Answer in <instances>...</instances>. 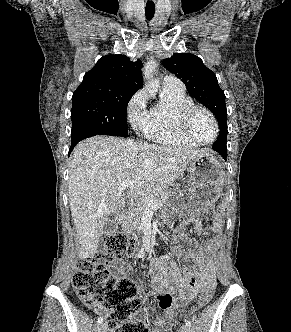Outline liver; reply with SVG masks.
Returning <instances> with one entry per match:
<instances>
[{"label": "liver", "mask_w": 291, "mask_h": 332, "mask_svg": "<svg viewBox=\"0 0 291 332\" xmlns=\"http://www.w3.org/2000/svg\"><path fill=\"white\" fill-rule=\"evenodd\" d=\"M207 149L165 147L109 136L78 143L69 165L68 197L82 259L93 258L107 217L125 205L119 187L137 198L174 184Z\"/></svg>", "instance_id": "1"}]
</instances>
